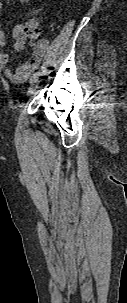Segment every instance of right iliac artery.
<instances>
[{"instance_id":"1","label":"right iliac artery","mask_w":127,"mask_h":303,"mask_svg":"<svg viewBox=\"0 0 127 303\" xmlns=\"http://www.w3.org/2000/svg\"><path fill=\"white\" fill-rule=\"evenodd\" d=\"M39 75H41L40 71L35 72L30 79V83H32L36 78H38Z\"/></svg>"}]
</instances>
